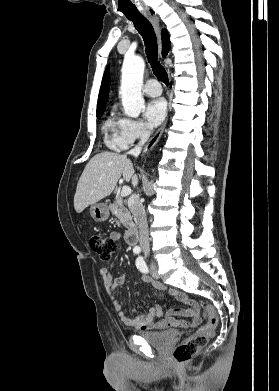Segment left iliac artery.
I'll list each match as a JSON object with an SVG mask.
<instances>
[{
  "label": "left iliac artery",
  "mask_w": 279,
  "mask_h": 391,
  "mask_svg": "<svg viewBox=\"0 0 279 391\" xmlns=\"http://www.w3.org/2000/svg\"><path fill=\"white\" fill-rule=\"evenodd\" d=\"M136 266L141 272L148 273V267L142 257L137 258Z\"/></svg>",
  "instance_id": "obj_1"
}]
</instances>
